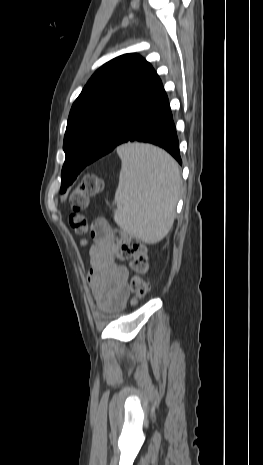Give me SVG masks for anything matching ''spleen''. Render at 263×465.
Wrapping results in <instances>:
<instances>
[{
    "label": "spleen",
    "mask_w": 263,
    "mask_h": 465,
    "mask_svg": "<svg viewBox=\"0 0 263 465\" xmlns=\"http://www.w3.org/2000/svg\"><path fill=\"white\" fill-rule=\"evenodd\" d=\"M121 159L114 220L129 235L157 243L171 229L181 185L176 161L163 150L128 143L117 148Z\"/></svg>",
    "instance_id": "spleen-1"
}]
</instances>
